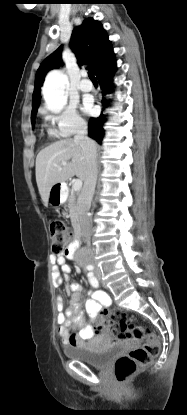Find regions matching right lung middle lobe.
I'll use <instances>...</instances> for the list:
<instances>
[{
  "label": "right lung middle lobe",
  "mask_w": 187,
  "mask_h": 415,
  "mask_svg": "<svg viewBox=\"0 0 187 415\" xmlns=\"http://www.w3.org/2000/svg\"><path fill=\"white\" fill-rule=\"evenodd\" d=\"M36 113H37V110H35L31 113V121H32V127L33 128H34V119H35Z\"/></svg>",
  "instance_id": "obj_1"
}]
</instances>
